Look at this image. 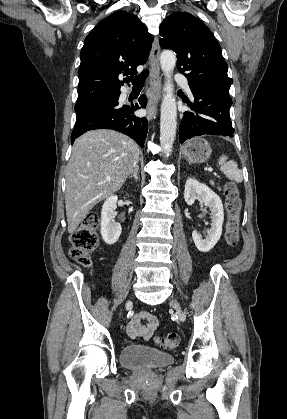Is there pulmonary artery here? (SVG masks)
Segmentation results:
<instances>
[{
	"mask_svg": "<svg viewBox=\"0 0 287 419\" xmlns=\"http://www.w3.org/2000/svg\"><path fill=\"white\" fill-rule=\"evenodd\" d=\"M174 79H175V82L177 83V84H179V85H181L182 87H184V89L189 93V94H191V91H190V87H189V83H188V80L183 76V75H181V74H175V77H174Z\"/></svg>",
	"mask_w": 287,
	"mask_h": 419,
	"instance_id": "pulmonary-artery-1",
	"label": "pulmonary artery"
}]
</instances>
